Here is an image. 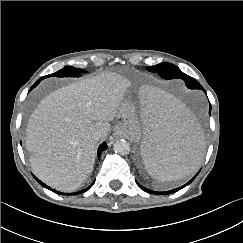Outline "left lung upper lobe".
Masks as SVG:
<instances>
[{
	"label": "left lung upper lobe",
	"instance_id": "left-lung-upper-lobe-1",
	"mask_svg": "<svg viewBox=\"0 0 243 243\" xmlns=\"http://www.w3.org/2000/svg\"><path fill=\"white\" fill-rule=\"evenodd\" d=\"M150 72H158V74L164 79H174L180 78L185 81V83H191L194 85L199 84L194 78L181 72L178 67L171 63L162 62L155 66H150L147 68Z\"/></svg>",
	"mask_w": 243,
	"mask_h": 243
}]
</instances>
